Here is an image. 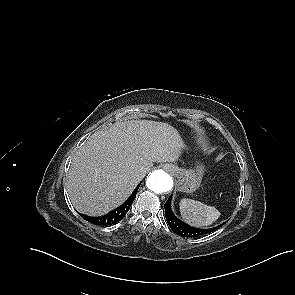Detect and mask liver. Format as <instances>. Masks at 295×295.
<instances>
[{"label":"liver","mask_w":295,"mask_h":295,"mask_svg":"<svg viewBox=\"0 0 295 295\" xmlns=\"http://www.w3.org/2000/svg\"><path fill=\"white\" fill-rule=\"evenodd\" d=\"M185 144L163 122L131 120L95 132L76 152L67 180L74 207L101 216L120 206L154 162H175Z\"/></svg>","instance_id":"liver-1"}]
</instances>
